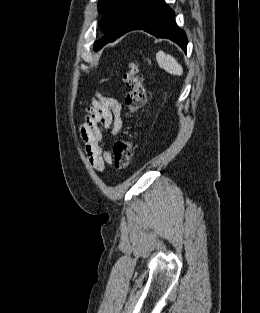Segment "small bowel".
Segmentation results:
<instances>
[{"mask_svg": "<svg viewBox=\"0 0 260 313\" xmlns=\"http://www.w3.org/2000/svg\"><path fill=\"white\" fill-rule=\"evenodd\" d=\"M121 110L122 106L117 98L96 94L80 125V135L88 162L98 173H102L105 165L112 162L111 150L100 146L102 127L110 129L112 134L116 135L122 128Z\"/></svg>", "mask_w": 260, "mask_h": 313, "instance_id": "small-bowel-1", "label": "small bowel"}]
</instances>
